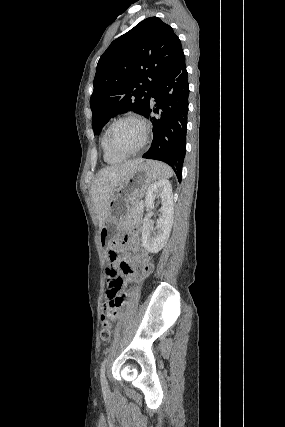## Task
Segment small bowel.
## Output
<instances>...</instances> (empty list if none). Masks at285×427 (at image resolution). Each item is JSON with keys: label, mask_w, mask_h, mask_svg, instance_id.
Masks as SVG:
<instances>
[{"label": "small bowel", "mask_w": 285, "mask_h": 427, "mask_svg": "<svg viewBox=\"0 0 285 427\" xmlns=\"http://www.w3.org/2000/svg\"><path fill=\"white\" fill-rule=\"evenodd\" d=\"M139 230H140V228L138 226L132 230V234H133L132 244L134 246V250H133V258L130 260L134 261L137 264H141V263L150 264V257L148 256L147 253L143 252L139 246V240H138ZM123 261H127V259L124 258ZM121 262L122 261H117V262H115L114 265L116 267H121ZM111 292H112L114 297H121L123 299L120 307L118 308V314L115 318V320H116L120 316V313L124 310V307L126 306V301L124 300L122 289L111 290Z\"/></svg>", "instance_id": "obj_1"}]
</instances>
